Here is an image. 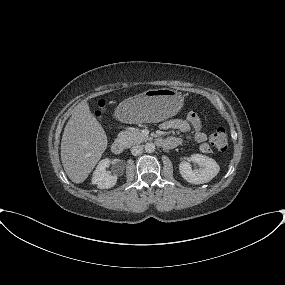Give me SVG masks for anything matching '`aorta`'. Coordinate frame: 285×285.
Segmentation results:
<instances>
[{"label": "aorta", "mask_w": 285, "mask_h": 285, "mask_svg": "<svg viewBox=\"0 0 285 285\" xmlns=\"http://www.w3.org/2000/svg\"><path fill=\"white\" fill-rule=\"evenodd\" d=\"M145 151L147 153H152L155 151V145L152 142H148L144 145Z\"/></svg>", "instance_id": "aorta-1"}]
</instances>
